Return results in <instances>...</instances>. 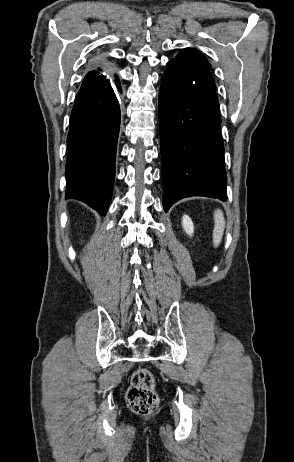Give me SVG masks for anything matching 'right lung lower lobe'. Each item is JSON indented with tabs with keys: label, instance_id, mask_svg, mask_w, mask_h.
<instances>
[{
	"label": "right lung lower lobe",
	"instance_id": "right-lung-lower-lobe-1",
	"mask_svg": "<svg viewBox=\"0 0 294 462\" xmlns=\"http://www.w3.org/2000/svg\"><path fill=\"white\" fill-rule=\"evenodd\" d=\"M117 89L121 91L117 77L115 82L112 77L83 82L67 137L66 198L81 200L100 215L107 212L115 178L120 128Z\"/></svg>",
	"mask_w": 294,
	"mask_h": 462
}]
</instances>
